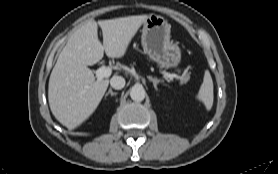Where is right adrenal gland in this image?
Here are the masks:
<instances>
[{
  "label": "right adrenal gland",
  "instance_id": "2a0ac1e0",
  "mask_svg": "<svg viewBox=\"0 0 278 174\" xmlns=\"http://www.w3.org/2000/svg\"><path fill=\"white\" fill-rule=\"evenodd\" d=\"M109 94H110L111 96H114V95H116L117 93H116V92H113L112 89L110 88L109 91L105 94V97L108 96Z\"/></svg>",
  "mask_w": 278,
  "mask_h": 174
}]
</instances>
